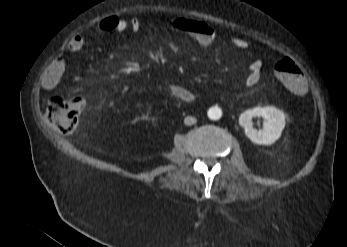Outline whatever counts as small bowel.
<instances>
[{"instance_id":"1","label":"small bowel","mask_w":347,"mask_h":247,"mask_svg":"<svg viewBox=\"0 0 347 247\" xmlns=\"http://www.w3.org/2000/svg\"><path fill=\"white\" fill-rule=\"evenodd\" d=\"M172 28L177 31L185 32L192 38H194L197 43L205 49H209L216 43L217 37L213 28L205 21L200 19H176L171 21ZM141 28V22L137 18L132 19H120L116 16L106 17L98 25V30L102 33H122L127 30L133 32L138 31ZM230 44L246 57L250 58V72L245 78V84L247 86H254L258 83L260 78V70L262 64L260 60L254 59L248 53V42L241 36H230ZM175 47L178 45L175 43ZM84 47V38L81 35H74L67 44V49L70 52H79ZM65 71V64L60 59H55L52 61L47 69L45 70L42 77V88L50 91L59 85L61 78ZM167 89L169 93L175 98L185 102L191 103L195 99V94L189 88L178 85V84H168ZM305 93V92H304Z\"/></svg>"}]
</instances>
